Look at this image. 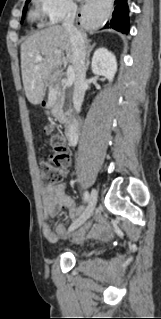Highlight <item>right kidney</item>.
I'll return each instance as SVG.
<instances>
[{
  "mask_svg": "<svg viewBox=\"0 0 161 319\" xmlns=\"http://www.w3.org/2000/svg\"><path fill=\"white\" fill-rule=\"evenodd\" d=\"M91 69L94 74L105 76L109 82H112L117 71L114 54L103 47L97 49L92 58Z\"/></svg>",
  "mask_w": 161,
  "mask_h": 319,
  "instance_id": "obj_1",
  "label": "right kidney"
}]
</instances>
